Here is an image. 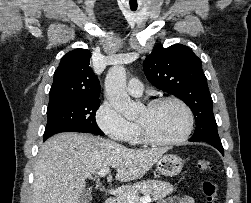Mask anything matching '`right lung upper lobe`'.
Instances as JSON below:
<instances>
[{
    "mask_svg": "<svg viewBox=\"0 0 251 203\" xmlns=\"http://www.w3.org/2000/svg\"><path fill=\"white\" fill-rule=\"evenodd\" d=\"M91 54L87 49H75L62 57L54 73L49 106L100 95V83L89 66Z\"/></svg>",
    "mask_w": 251,
    "mask_h": 203,
    "instance_id": "cb5924a9",
    "label": "right lung upper lobe"
}]
</instances>
